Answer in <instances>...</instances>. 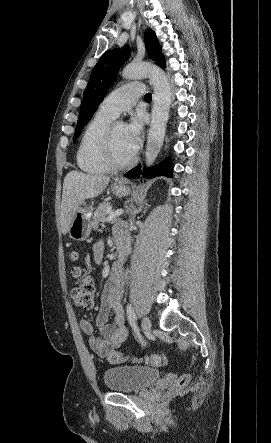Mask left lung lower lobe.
<instances>
[{"label": "left lung lower lobe", "mask_w": 271, "mask_h": 443, "mask_svg": "<svg viewBox=\"0 0 271 443\" xmlns=\"http://www.w3.org/2000/svg\"><path fill=\"white\" fill-rule=\"evenodd\" d=\"M156 63L162 67H165V59L164 56H161ZM141 173V165L139 164L132 170L128 171L125 176L127 178H136ZM167 176L172 177V169H171V163L168 160H165L163 163H161L159 166L152 167L148 170H144V177L146 178H153L156 176Z\"/></svg>", "instance_id": "obj_1"}]
</instances>
